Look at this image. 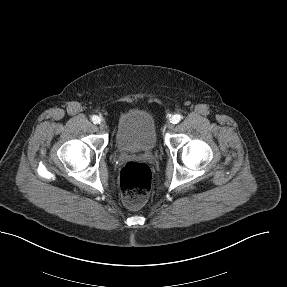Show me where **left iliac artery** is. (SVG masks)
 Masks as SVG:
<instances>
[{"instance_id":"1","label":"left iliac artery","mask_w":287,"mask_h":287,"mask_svg":"<svg viewBox=\"0 0 287 287\" xmlns=\"http://www.w3.org/2000/svg\"><path fill=\"white\" fill-rule=\"evenodd\" d=\"M181 118H182L181 115L175 114V115L171 118V122H172L173 124H177L178 122H180Z\"/></svg>"}]
</instances>
